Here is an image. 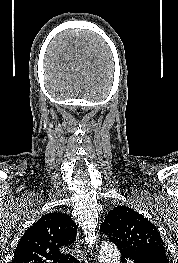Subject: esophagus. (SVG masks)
Masks as SVG:
<instances>
[{
    "label": "esophagus",
    "mask_w": 178,
    "mask_h": 263,
    "mask_svg": "<svg viewBox=\"0 0 178 263\" xmlns=\"http://www.w3.org/2000/svg\"><path fill=\"white\" fill-rule=\"evenodd\" d=\"M80 235H81L80 232H78V233H77V242H78V244H80V242H81Z\"/></svg>",
    "instance_id": "34e87169"
}]
</instances>
